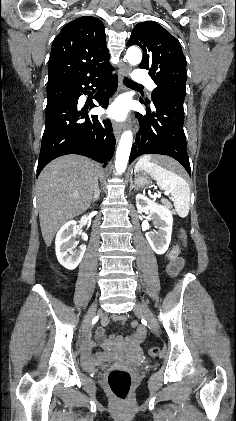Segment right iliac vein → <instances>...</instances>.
I'll return each instance as SVG.
<instances>
[{"label": "right iliac vein", "mask_w": 236, "mask_h": 421, "mask_svg": "<svg viewBox=\"0 0 236 421\" xmlns=\"http://www.w3.org/2000/svg\"><path fill=\"white\" fill-rule=\"evenodd\" d=\"M96 309H97V306H96V303H94V304H92L91 305V307H90V309H89V311H88V313H87V317H86V323H85V325H84V334L90 329V327H91V321H92V319H93V317H94V315H95V313H96Z\"/></svg>", "instance_id": "1"}]
</instances>
